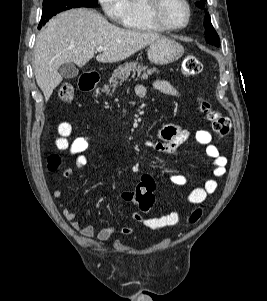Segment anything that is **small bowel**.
Returning a JSON list of instances; mask_svg holds the SVG:
<instances>
[{"mask_svg": "<svg viewBox=\"0 0 267 301\" xmlns=\"http://www.w3.org/2000/svg\"><path fill=\"white\" fill-rule=\"evenodd\" d=\"M154 88L163 94L179 97L180 93L176 87L166 80H156L153 84ZM135 92L139 97L146 95L147 89L144 85L138 84L135 87ZM72 125L69 122H60L57 126V136L55 139V145L60 150H66L74 157L75 166L77 169H84L87 165V157L84 152L88 149L93 136H78L73 140H69L72 135ZM190 137V132L187 129L180 127L177 124H167L160 128L154 139L147 140L146 146L163 154H175L178 148L185 143ZM195 141L205 146V152L208 158L213 161V175L215 177H222L226 174L227 158L222 155L218 147L213 143L212 133L208 130H199L194 135ZM65 178H71L73 175L72 168H65L62 172ZM170 181L178 186L187 184V178L181 174H172L169 176ZM218 187V183L215 179H209L205 182L204 186L194 188L189 196L188 202L191 204L202 203L209 195L213 194ZM63 192L60 189H56L53 192V197L56 200L62 198ZM119 200L123 202H135V194L133 191H122L118 195ZM59 208L64 218L70 223L71 227L86 237L91 238L95 234L94 227L92 225H82L76 217V214L66 208L62 203H59ZM132 218L138 222H144V224L150 228H163L176 225L180 220V215L177 212H172L168 215L143 220L141 215L133 213ZM116 227L114 225H108L99 230L97 238L100 241L108 240L115 232ZM132 229L130 227L121 228V234H129Z\"/></svg>", "mask_w": 267, "mask_h": 301, "instance_id": "small-bowel-1", "label": "small bowel"}]
</instances>
